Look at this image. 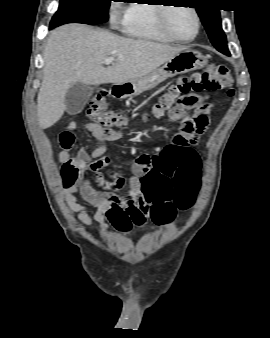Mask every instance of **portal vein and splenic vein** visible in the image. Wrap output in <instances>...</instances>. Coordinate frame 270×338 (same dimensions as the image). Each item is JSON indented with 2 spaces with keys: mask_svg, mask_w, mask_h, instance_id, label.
Instances as JSON below:
<instances>
[{
  "mask_svg": "<svg viewBox=\"0 0 270 338\" xmlns=\"http://www.w3.org/2000/svg\"><path fill=\"white\" fill-rule=\"evenodd\" d=\"M114 60H115L114 57H109V58L105 59L104 65H110V64L113 63Z\"/></svg>",
  "mask_w": 270,
  "mask_h": 338,
  "instance_id": "18ae733b",
  "label": "portal vein and splenic vein"
}]
</instances>
